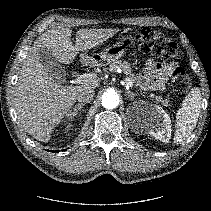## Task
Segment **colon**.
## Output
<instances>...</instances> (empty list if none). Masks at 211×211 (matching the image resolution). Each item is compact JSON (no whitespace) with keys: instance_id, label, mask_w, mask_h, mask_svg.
Listing matches in <instances>:
<instances>
[{"instance_id":"colon-1","label":"colon","mask_w":211,"mask_h":211,"mask_svg":"<svg viewBox=\"0 0 211 211\" xmlns=\"http://www.w3.org/2000/svg\"><path fill=\"white\" fill-rule=\"evenodd\" d=\"M137 42L140 50L146 54L166 60L176 59L180 56L178 44L174 40L151 28H142L137 33ZM171 86L177 96H182L189 90L190 78L182 68L177 67L173 69Z\"/></svg>"}]
</instances>
